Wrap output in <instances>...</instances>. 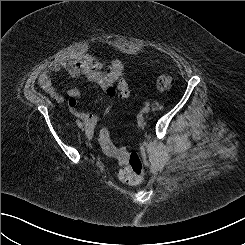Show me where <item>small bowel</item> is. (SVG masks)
<instances>
[{
  "instance_id": "small-bowel-1",
  "label": "small bowel",
  "mask_w": 245,
  "mask_h": 245,
  "mask_svg": "<svg viewBox=\"0 0 245 245\" xmlns=\"http://www.w3.org/2000/svg\"><path fill=\"white\" fill-rule=\"evenodd\" d=\"M60 70H65L72 77L84 76L89 81L98 84L110 100L103 116L109 114L112 104L116 99H125L130 94L129 85L125 79V67L121 61L113 60L107 69L104 70L102 61L93 56L86 55L68 61H53L41 74V86L57 103H63L64 97L52 85L51 74ZM66 94L69 98L68 107L70 112L83 120L89 129L94 128L101 119V116L85 113L77 109L81 91L77 88H70Z\"/></svg>"
}]
</instances>
